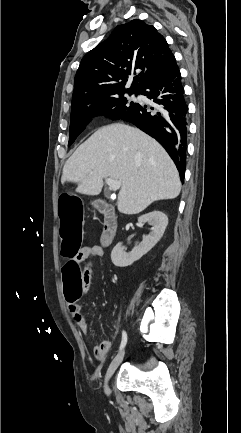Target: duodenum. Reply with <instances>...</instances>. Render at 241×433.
Instances as JSON below:
<instances>
[{
	"instance_id": "410a0bca",
	"label": "duodenum",
	"mask_w": 241,
	"mask_h": 433,
	"mask_svg": "<svg viewBox=\"0 0 241 433\" xmlns=\"http://www.w3.org/2000/svg\"><path fill=\"white\" fill-rule=\"evenodd\" d=\"M95 206L97 210L104 216V227L101 236V243L103 246H108L116 234L118 224L117 218L112 208L105 203L97 200L95 201Z\"/></svg>"
}]
</instances>
